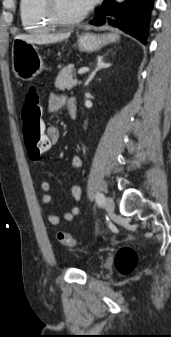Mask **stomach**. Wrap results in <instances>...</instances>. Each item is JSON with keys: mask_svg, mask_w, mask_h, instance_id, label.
I'll use <instances>...</instances> for the list:
<instances>
[{"mask_svg": "<svg viewBox=\"0 0 171 337\" xmlns=\"http://www.w3.org/2000/svg\"><path fill=\"white\" fill-rule=\"evenodd\" d=\"M119 39L117 34L94 35L84 33L78 39V46L86 52H94L103 46L116 42ZM12 68L16 77L23 81H31L39 75L44 63L34 43L16 39L12 45Z\"/></svg>", "mask_w": 171, "mask_h": 337, "instance_id": "stomach-1", "label": "stomach"}]
</instances>
